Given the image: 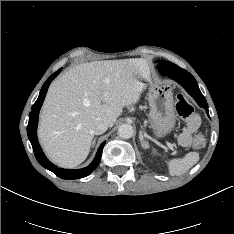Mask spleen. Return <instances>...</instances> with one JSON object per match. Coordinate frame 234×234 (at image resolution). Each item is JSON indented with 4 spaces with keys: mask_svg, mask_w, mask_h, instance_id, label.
Listing matches in <instances>:
<instances>
[{
    "mask_svg": "<svg viewBox=\"0 0 234 234\" xmlns=\"http://www.w3.org/2000/svg\"><path fill=\"white\" fill-rule=\"evenodd\" d=\"M199 161V153L190 152L181 159H171L168 161L169 174L182 175Z\"/></svg>",
    "mask_w": 234,
    "mask_h": 234,
    "instance_id": "spleen-1",
    "label": "spleen"
}]
</instances>
